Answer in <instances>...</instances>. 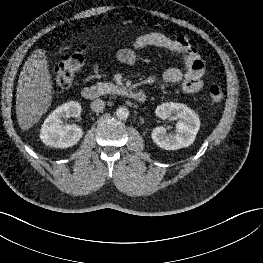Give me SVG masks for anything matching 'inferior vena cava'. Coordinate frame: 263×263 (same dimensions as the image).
<instances>
[{"mask_svg": "<svg viewBox=\"0 0 263 263\" xmlns=\"http://www.w3.org/2000/svg\"><path fill=\"white\" fill-rule=\"evenodd\" d=\"M105 108V103L101 99H95L94 101L91 102V109L94 112H101Z\"/></svg>", "mask_w": 263, "mask_h": 263, "instance_id": "inferior-vena-cava-1", "label": "inferior vena cava"}]
</instances>
